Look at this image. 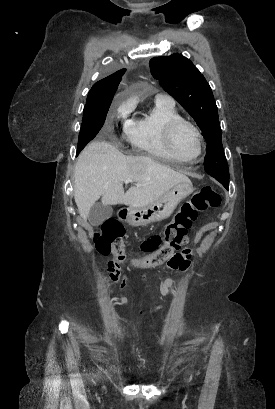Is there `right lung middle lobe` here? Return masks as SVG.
I'll use <instances>...</instances> for the list:
<instances>
[{
	"label": "right lung middle lobe",
	"instance_id": "obj_1",
	"mask_svg": "<svg viewBox=\"0 0 275 409\" xmlns=\"http://www.w3.org/2000/svg\"><path fill=\"white\" fill-rule=\"evenodd\" d=\"M104 73H118V64H104ZM110 104L103 106H87L85 105L83 111V121L79 134L77 155L90 142L102 128Z\"/></svg>",
	"mask_w": 275,
	"mask_h": 409
}]
</instances>
